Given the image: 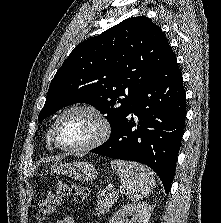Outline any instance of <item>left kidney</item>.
<instances>
[{"label": "left kidney", "instance_id": "1", "mask_svg": "<svg viewBox=\"0 0 221 223\" xmlns=\"http://www.w3.org/2000/svg\"><path fill=\"white\" fill-rule=\"evenodd\" d=\"M151 211V206L145 202L125 205L113 215L109 223H148Z\"/></svg>", "mask_w": 221, "mask_h": 223}]
</instances>
